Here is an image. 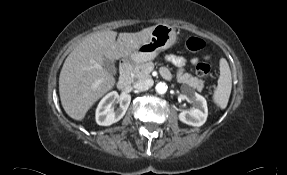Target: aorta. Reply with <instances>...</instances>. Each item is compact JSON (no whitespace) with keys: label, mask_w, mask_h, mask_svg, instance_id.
<instances>
[{"label":"aorta","mask_w":287,"mask_h":175,"mask_svg":"<svg viewBox=\"0 0 287 175\" xmlns=\"http://www.w3.org/2000/svg\"><path fill=\"white\" fill-rule=\"evenodd\" d=\"M167 88H168V87H167V85H166L165 83L159 82V83L156 85L155 90H156V92L159 93V94H164V93H166Z\"/></svg>","instance_id":"1"}]
</instances>
